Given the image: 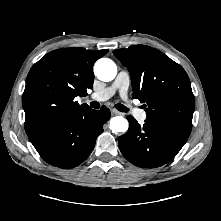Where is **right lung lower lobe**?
I'll use <instances>...</instances> for the list:
<instances>
[{
    "label": "right lung lower lobe",
    "instance_id": "right-lung-lower-lobe-1",
    "mask_svg": "<svg viewBox=\"0 0 221 221\" xmlns=\"http://www.w3.org/2000/svg\"><path fill=\"white\" fill-rule=\"evenodd\" d=\"M110 111L84 108L60 122L35 129L28 137L49 164L60 168H73L81 164L93 151L97 136L110 119Z\"/></svg>",
    "mask_w": 221,
    "mask_h": 221
}]
</instances>
